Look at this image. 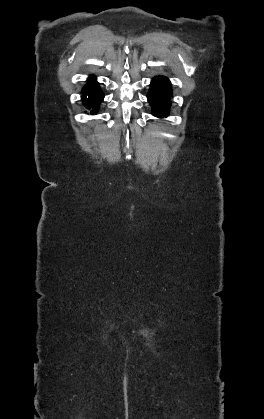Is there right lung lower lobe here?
<instances>
[{"instance_id":"1","label":"right lung lower lobe","mask_w":264,"mask_h":419,"mask_svg":"<svg viewBox=\"0 0 264 419\" xmlns=\"http://www.w3.org/2000/svg\"><path fill=\"white\" fill-rule=\"evenodd\" d=\"M82 101L87 109H92L91 114L98 110L99 104L103 101L104 94L95 78H90L82 90Z\"/></svg>"}]
</instances>
